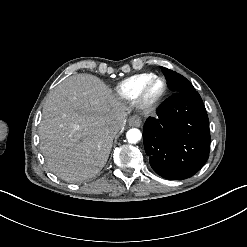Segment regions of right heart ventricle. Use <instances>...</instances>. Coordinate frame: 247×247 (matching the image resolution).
<instances>
[{
    "mask_svg": "<svg viewBox=\"0 0 247 247\" xmlns=\"http://www.w3.org/2000/svg\"><path fill=\"white\" fill-rule=\"evenodd\" d=\"M156 76L153 73L139 74L121 81L115 88L114 95L119 101L132 102L135 100L140 86L149 78Z\"/></svg>",
    "mask_w": 247,
    "mask_h": 247,
    "instance_id": "e07e8e85",
    "label": "right heart ventricle"
}]
</instances>
